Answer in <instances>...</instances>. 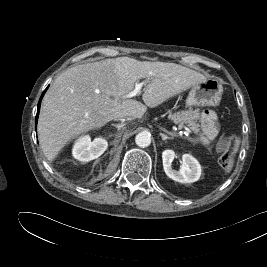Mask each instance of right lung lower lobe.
Returning <instances> with one entry per match:
<instances>
[{"label": "right lung lower lobe", "instance_id": "1", "mask_svg": "<svg viewBox=\"0 0 267 267\" xmlns=\"http://www.w3.org/2000/svg\"><path fill=\"white\" fill-rule=\"evenodd\" d=\"M47 88H48V87H47ZM47 88L45 89V91H44L43 94L41 95V98H40L39 103H38V110H37V115H36V124H37V119H38V115H39V110H40L41 100H42V98H43V96H44V94H45Z\"/></svg>", "mask_w": 267, "mask_h": 267}]
</instances>
